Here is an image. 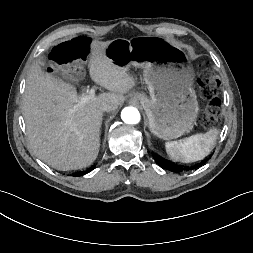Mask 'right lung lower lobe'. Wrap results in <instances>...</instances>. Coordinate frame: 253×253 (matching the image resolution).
Listing matches in <instances>:
<instances>
[{
  "instance_id": "right-lung-lower-lobe-1",
  "label": "right lung lower lobe",
  "mask_w": 253,
  "mask_h": 253,
  "mask_svg": "<svg viewBox=\"0 0 253 253\" xmlns=\"http://www.w3.org/2000/svg\"><path fill=\"white\" fill-rule=\"evenodd\" d=\"M94 168H91L89 171H87L86 173H88V172H90L91 170H93ZM86 173H80V174H75L74 176H82V175H84V174H86Z\"/></svg>"
}]
</instances>
